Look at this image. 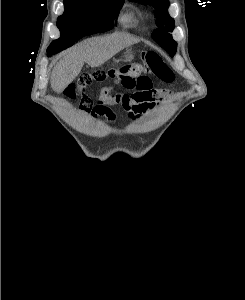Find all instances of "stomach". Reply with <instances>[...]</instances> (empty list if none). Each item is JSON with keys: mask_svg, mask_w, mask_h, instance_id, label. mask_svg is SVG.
I'll return each mask as SVG.
<instances>
[{"mask_svg": "<svg viewBox=\"0 0 245 300\" xmlns=\"http://www.w3.org/2000/svg\"><path fill=\"white\" fill-rule=\"evenodd\" d=\"M133 58H134V55L132 52H127L122 57V59L128 60V61L132 60Z\"/></svg>", "mask_w": 245, "mask_h": 300, "instance_id": "obj_1", "label": "stomach"}]
</instances>
